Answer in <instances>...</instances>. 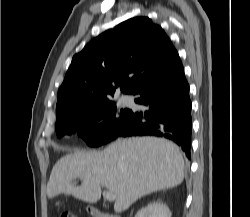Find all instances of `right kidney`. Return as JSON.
<instances>
[{
  "instance_id": "right-kidney-1",
  "label": "right kidney",
  "mask_w": 250,
  "mask_h": 217,
  "mask_svg": "<svg viewBox=\"0 0 250 217\" xmlns=\"http://www.w3.org/2000/svg\"><path fill=\"white\" fill-rule=\"evenodd\" d=\"M135 217H171V212L165 204L153 202L139 210Z\"/></svg>"
}]
</instances>
